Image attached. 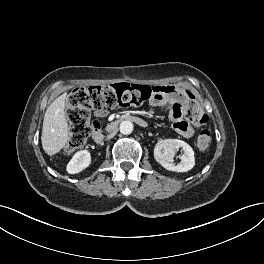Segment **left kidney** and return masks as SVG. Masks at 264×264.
<instances>
[{
  "instance_id": "1",
  "label": "left kidney",
  "mask_w": 264,
  "mask_h": 264,
  "mask_svg": "<svg viewBox=\"0 0 264 264\" xmlns=\"http://www.w3.org/2000/svg\"><path fill=\"white\" fill-rule=\"evenodd\" d=\"M182 148V162L175 165L174 155L176 150ZM154 157L165 169L174 172H187L195 165L194 151L186 142L178 139L159 140L154 149Z\"/></svg>"
}]
</instances>
